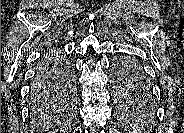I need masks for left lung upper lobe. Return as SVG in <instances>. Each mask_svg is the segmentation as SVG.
<instances>
[{"label":"left lung upper lobe","instance_id":"1","mask_svg":"<svg viewBox=\"0 0 184 133\" xmlns=\"http://www.w3.org/2000/svg\"><path fill=\"white\" fill-rule=\"evenodd\" d=\"M114 82L117 101L128 119L148 121L155 114L149 84L139 64L131 59H120L115 64ZM140 88L141 94L137 91Z\"/></svg>","mask_w":184,"mask_h":133}]
</instances>
